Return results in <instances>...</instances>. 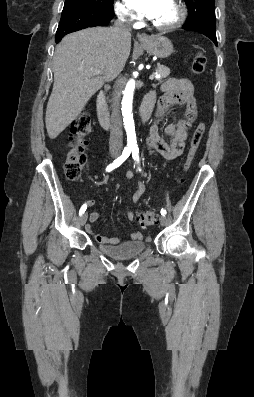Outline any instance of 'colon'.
Returning <instances> with one entry per match:
<instances>
[{
    "instance_id": "5ec220e1",
    "label": "colon",
    "mask_w": 254,
    "mask_h": 397,
    "mask_svg": "<svg viewBox=\"0 0 254 397\" xmlns=\"http://www.w3.org/2000/svg\"><path fill=\"white\" fill-rule=\"evenodd\" d=\"M206 65V57L201 50H198L192 63L194 74H201ZM91 120L87 114L78 116L70 126L69 150L65 156L64 171L66 177L71 181L79 179L81 172L86 163L85 147L87 145L86 137L91 132ZM205 132V124L200 123L192 135L188 154L184 164V169L188 170L200 146ZM136 220L142 226L154 225L158 221V214L155 210H148L136 215Z\"/></svg>"
}]
</instances>
